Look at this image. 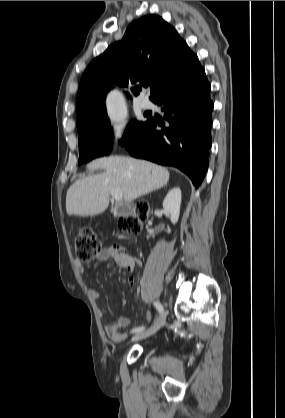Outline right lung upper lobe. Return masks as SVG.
I'll return each instance as SVG.
<instances>
[{
  "mask_svg": "<svg viewBox=\"0 0 285 418\" xmlns=\"http://www.w3.org/2000/svg\"><path fill=\"white\" fill-rule=\"evenodd\" d=\"M201 67L177 31L157 15L133 21L121 41L110 45L85 70L77 95V125L106 112L105 97L114 86H151L156 103L166 92L196 75ZM129 96V94H128Z\"/></svg>",
  "mask_w": 285,
  "mask_h": 418,
  "instance_id": "1",
  "label": "right lung upper lobe"
}]
</instances>
